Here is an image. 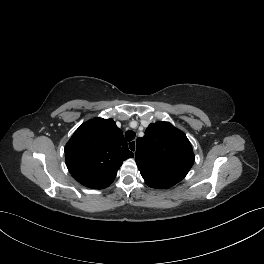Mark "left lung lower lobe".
<instances>
[{
	"label": "left lung lower lobe",
	"mask_w": 264,
	"mask_h": 264,
	"mask_svg": "<svg viewBox=\"0 0 264 264\" xmlns=\"http://www.w3.org/2000/svg\"><path fill=\"white\" fill-rule=\"evenodd\" d=\"M146 184L152 188H169L176 184V182L165 175V173L153 172L148 175H142Z\"/></svg>",
	"instance_id": "0a47b994"
}]
</instances>
